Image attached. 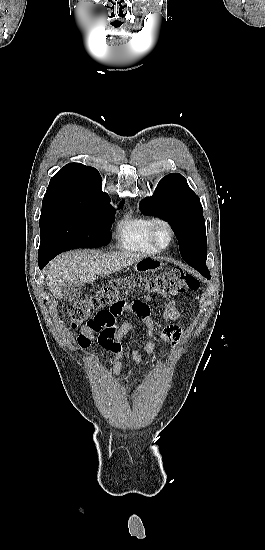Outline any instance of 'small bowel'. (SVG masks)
<instances>
[{"mask_svg": "<svg viewBox=\"0 0 265 550\" xmlns=\"http://www.w3.org/2000/svg\"><path fill=\"white\" fill-rule=\"evenodd\" d=\"M146 301H150V298L145 296ZM136 301V300H135ZM143 302V301H142ZM145 303V302H144ZM146 304V303H145ZM136 311L133 310L131 306H128L125 312ZM180 317V314L176 308L174 302H168L165 304L164 318L171 321H176ZM143 322L146 328V334L148 340L144 345V351L147 355H151L155 350V343L153 337L154 332V323L153 319L150 316L149 306L146 304V313L143 316ZM116 326V321H115ZM130 332H137L136 328L129 323L115 327V331L111 336H106L101 332H95L89 327L82 328L80 334L77 336L78 346L82 349H86L90 346L91 341L94 337H98L100 343L104 345L113 355L112 368L115 375H119L122 370V358H123V339ZM181 337L180 330L176 327H168L163 330L160 334V339L164 342H177ZM131 357L133 361L137 364L144 363V357L137 348H134L131 352Z\"/></svg>", "mask_w": 265, "mask_h": 550, "instance_id": "c3829d8e", "label": "small bowel"}]
</instances>
